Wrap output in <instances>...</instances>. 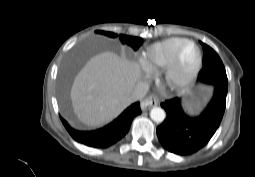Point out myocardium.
<instances>
[{
    "label": "myocardium",
    "instance_id": "myocardium-1",
    "mask_svg": "<svg viewBox=\"0 0 255 177\" xmlns=\"http://www.w3.org/2000/svg\"><path fill=\"white\" fill-rule=\"evenodd\" d=\"M187 46H192L195 49L196 56L186 76L179 79L177 77V70L180 64L182 54ZM201 63H202V54H201V50L199 46L191 40H185L177 48L172 59L164 67V78H165L166 84L170 86L172 89L177 91H182L188 88L196 80L201 68Z\"/></svg>",
    "mask_w": 255,
    "mask_h": 177
}]
</instances>
